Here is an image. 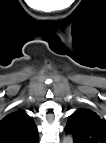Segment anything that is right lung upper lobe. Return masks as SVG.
<instances>
[{
    "instance_id": "right-lung-upper-lobe-1",
    "label": "right lung upper lobe",
    "mask_w": 106,
    "mask_h": 143,
    "mask_svg": "<svg viewBox=\"0 0 106 143\" xmlns=\"http://www.w3.org/2000/svg\"><path fill=\"white\" fill-rule=\"evenodd\" d=\"M37 140V127L23 110L0 119V143H35Z\"/></svg>"
}]
</instances>
